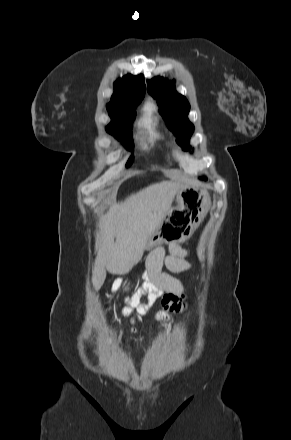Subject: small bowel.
<instances>
[{"label":"small bowel","instance_id":"small-bowel-1","mask_svg":"<svg viewBox=\"0 0 291 440\" xmlns=\"http://www.w3.org/2000/svg\"><path fill=\"white\" fill-rule=\"evenodd\" d=\"M169 251L170 254L166 256L162 248H156L148 255L147 278L135 294L129 295L131 282L124 283L121 279L113 282L112 292L122 290L125 294L126 306L118 312L119 316H130L133 310L137 315H143L157 301L161 303V310L156 314L157 320L165 321L168 313L181 309L175 301L182 299L184 287L171 274L161 272V267L165 264L172 272L190 269L189 251L177 243L170 245ZM134 320L135 316L132 317V321Z\"/></svg>","mask_w":291,"mask_h":440}]
</instances>
